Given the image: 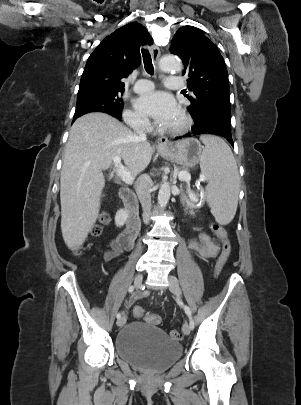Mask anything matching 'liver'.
Here are the masks:
<instances>
[{
    "instance_id": "obj_1",
    "label": "liver",
    "mask_w": 301,
    "mask_h": 405,
    "mask_svg": "<svg viewBox=\"0 0 301 405\" xmlns=\"http://www.w3.org/2000/svg\"><path fill=\"white\" fill-rule=\"evenodd\" d=\"M154 149L117 119L90 113L72 125L60 178L61 231L66 245L83 244L100 211L102 171L120 156L135 177L151 161Z\"/></svg>"
}]
</instances>
